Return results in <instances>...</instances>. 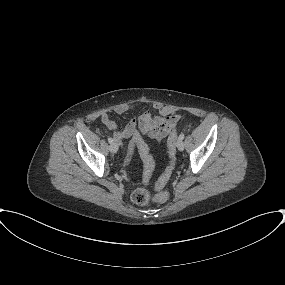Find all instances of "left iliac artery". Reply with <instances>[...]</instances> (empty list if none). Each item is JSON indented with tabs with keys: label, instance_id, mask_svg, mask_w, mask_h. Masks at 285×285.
<instances>
[{
	"label": "left iliac artery",
	"instance_id": "44dca946",
	"mask_svg": "<svg viewBox=\"0 0 285 285\" xmlns=\"http://www.w3.org/2000/svg\"><path fill=\"white\" fill-rule=\"evenodd\" d=\"M179 138H180L181 140H183V139H184V134L181 133V134L179 135Z\"/></svg>",
	"mask_w": 285,
	"mask_h": 285
}]
</instances>
